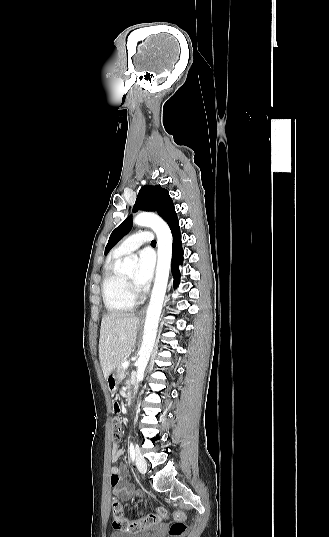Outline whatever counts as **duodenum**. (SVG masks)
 I'll use <instances>...</instances> for the list:
<instances>
[{"instance_id":"410a0bca","label":"duodenum","mask_w":329,"mask_h":537,"mask_svg":"<svg viewBox=\"0 0 329 537\" xmlns=\"http://www.w3.org/2000/svg\"><path fill=\"white\" fill-rule=\"evenodd\" d=\"M126 397H127V398L129 397V393L127 394V396H126Z\"/></svg>"}]
</instances>
